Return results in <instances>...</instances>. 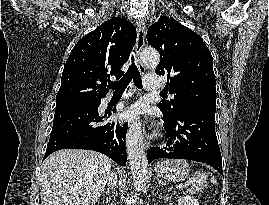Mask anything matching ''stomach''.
I'll list each match as a JSON object with an SVG mask.
<instances>
[{
    "instance_id": "stomach-1",
    "label": "stomach",
    "mask_w": 269,
    "mask_h": 205,
    "mask_svg": "<svg viewBox=\"0 0 269 205\" xmlns=\"http://www.w3.org/2000/svg\"><path fill=\"white\" fill-rule=\"evenodd\" d=\"M155 171L163 180L182 182L188 178L189 165L183 160H164L157 163Z\"/></svg>"
}]
</instances>
